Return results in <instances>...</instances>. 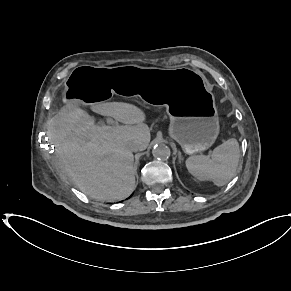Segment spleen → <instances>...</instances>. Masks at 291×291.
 Returning <instances> with one entry per match:
<instances>
[{
  "instance_id": "spleen-1",
  "label": "spleen",
  "mask_w": 291,
  "mask_h": 291,
  "mask_svg": "<svg viewBox=\"0 0 291 291\" xmlns=\"http://www.w3.org/2000/svg\"><path fill=\"white\" fill-rule=\"evenodd\" d=\"M240 159L239 143L231 138L217 146L210 156L195 155L186 160V167L199 181L227 184L235 175Z\"/></svg>"
}]
</instances>
